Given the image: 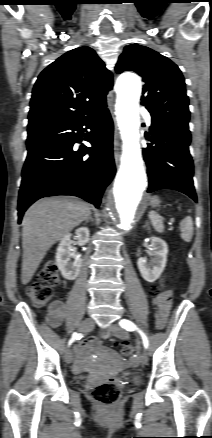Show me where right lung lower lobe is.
Returning <instances> with one entry per match:
<instances>
[{"mask_svg": "<svg viewBox=\"0 0 212 438\" xmlns=\"http://www.w3.org/2000/svg\"><path fill=\"white\" fill-rule=\"evenodd\" d=\"M91 148L74 149L86 129ZM113 122L106 107L81 120H54L28 127V155L22 170L18 222L36 200L73 195L97 208L106 186L115 176ZM89 153V157H84Z\"/></svg>", "mask_w": 212, "mask_h": 438, "instance_id": "1", "label": "right lung lower lobe"}]
</instances>
